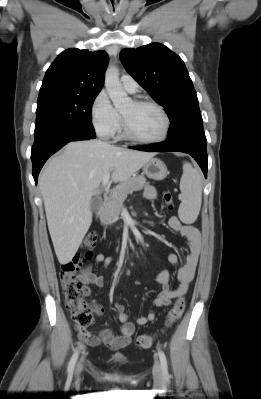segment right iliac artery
I'll use <instances>...</instances> for the list:
<instances>
[{"instance_id":"right-iliac-artery-1","label":"right iliac artery","mask_w":261,"mask_h":399,"mask_svg":"<svg viewBox=\"0 0 261 399\" xmlns=\"http://www.w3.org/2000/svg\"><path fill=\"white\" fill-rule=\"evenodd\" d=\"M78 356H79V350H76V351L74 352V354L72 355V357H71V359H70V362H69V364H68V368H67L68 373H73L74 366H75V364H76V361H77V359H78Z\"/></svg>"}]
</instances>
